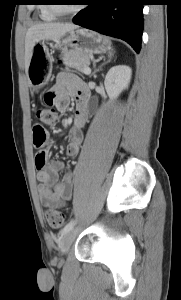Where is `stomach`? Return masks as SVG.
<instances>
[{"instance_id":"0dacf381","label":"stomach","mask_w":181,"mask_h":300,"mask_svg":"<svg viewBox=\"0 0 181 300\" xmlns=\"http://www.w3.org/2000/svg\"><path fill=\"white\" fill-rule=\"evenodd\" d=\"M54 42V47L63 50L71 47L89 57L93 54L106 53L111 46L107 37L83 28L71 30ZM47 44L45 41H37L33 46L27 76L34 91L43 87L51 75L52 58Z\"/></svg>"}]
</instances>
